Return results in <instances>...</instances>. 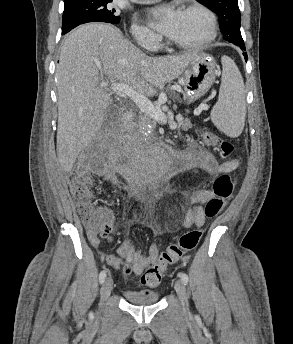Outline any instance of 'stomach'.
<instances>
[{
	"mask_svg": "<svg viewBox=\"0 0 293 344\" xmlns=\"http://www.w3.org/2000/svg\"><path fill=\"white\" fill-rule=\"evenodd\" d=\"M216 74L215 60L206 53H197L178 77L188 101L202 97L214 83Z\"/></svg>",
	"mask_w": 293,
	"mask_h": 344,
	"instance_id": "1",
	"label": "stomach"
}]
</instances>
